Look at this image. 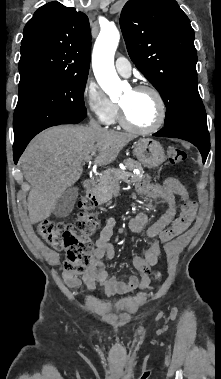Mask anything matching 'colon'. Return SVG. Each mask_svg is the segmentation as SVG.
Returning <instances> with one entry per match:
<instances>
[{"label": "colon", "mask_w": 221, "mask_h": 379, "mask_svg": "<svg viewBox=\"0 0 221 379\" xmlns=\"http://www.w3.org/2000/svg\"><path fill=\"white\" fill-rule=\"evenodd\" d=\"M169 161L179 164L185 161L186 153L176 147L168 151ZM96 202L86 197L81 198L78 207L80 213L77 219L71 223L43 221L38 226V231L43 239L54 249L64 251L65 270L73 274H82L91 263V252L93 250L92 235L96 229V220L93 210ZM197 212L194 201H188L170 226L160 233L161 242H168L185 232L193 223ZM160 276L159 273L156 274Z\"/></svg>", "instance_id": "5ec220e1"}]
</instances>
